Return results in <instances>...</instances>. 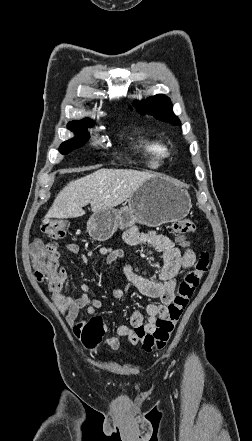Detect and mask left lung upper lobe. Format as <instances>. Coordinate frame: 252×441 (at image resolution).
I'll use <instances>...</instances> for the list:
<instances>
[{
	"instance_id": "obj_1",
	"label": "left lung upper lobe",
	"mask_w": 252,
	"mask_h": 441,
	"mask_svg": "<svg viewBox=\"0 0 252 441\" xmlns=\"http://www.w3.org/2000/svg\"><path fill=\"white\" fill-rule=\"evenodd\" d=\"M134 106L141 114H150L156 119L168 121L172 124H180L179 119L173 113V105L170 99L165 95L159 94L148 98L146 101L135 102Z\"/></svg>"
}]
</instances>
